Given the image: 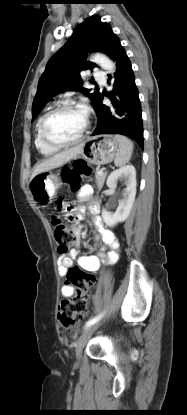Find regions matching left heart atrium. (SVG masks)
Returning <instances> with one entry per match:
<instances>
[{
    "label": "left heart atrium",
    "instance_id": "1",
    "mask_svg": "<svg viewBox=\"0 0 187 415\" xmlns=\"http://www.w3.org/2000/svg\"><path fill=\"white\" fill-rule=\"evenodd\" d=\"M80 111H81L84 115H86V108H85V107H82V108L80 109Z\"/></svg>",
    "mask_w": 187,
    "mask_h": 415
}]
</instances>
